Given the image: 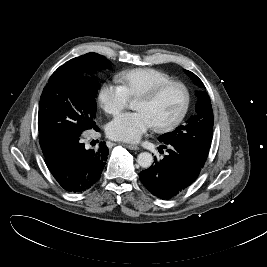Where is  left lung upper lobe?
Returning <instances> with one entry per match:
<instances>
[{
	"label": "left lung upper lobe",
	"instance_id": "5c2ea615",
	"mask_svg": "<svg viewBox=\"0 0 267 267\" xmlns=\"http://www.w3.org/2000/svg\"><path fill=\"white\" fill-rule=\"evenodd\" d=\"M195 85L202 88L203 82L192 72L186 70ZM198 97L196 113L173 132L165 133L159 141L165 144H181L194 149L197 154L207 159L213 134V111L209 95L204 91L195 92Z\"/></svg>",
	"mask_w": 267,
	"mask_h": 267
}]
</instances>
